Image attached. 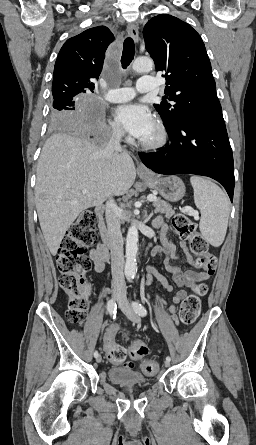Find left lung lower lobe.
<instances>
[{
	"mask_svg": "<svg viewBox=\"0 0 256 445\" xmlns=\"http://www.w3.org/2000/svg\"><path fill=\"white\" fill-rule=\"evenodd\" d=\"M165 127L170 143L159 152H139L142 162L160 174L211 177L224 186L233 201V154L223 116L186 113Z\"/></svg>",
	"mask_w": 256,
	"mask_h": 445,
	"instance_id": "0a47b994",
	"label": "left lung lower lobe"
}]
</instances>
